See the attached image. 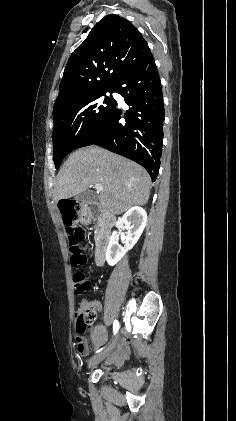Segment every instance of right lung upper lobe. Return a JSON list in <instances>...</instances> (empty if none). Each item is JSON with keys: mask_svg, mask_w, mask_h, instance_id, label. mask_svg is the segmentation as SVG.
Masks as SVG:
<instances>
[{"mask_svg": "<svg viewBox=\"0 0 236 421\" xmlns=\"http://www.w3.org/2000/svg\"><path fill=\"white\" fill-rule=\"evenodd\" d=\"M150 56L147 42L130 21L107 15L70 56L53 110L79 96L114 88L128 70Z\"/></svg>", "mask_w": 236, "mask_h": 421, "instance_id": "obj_1", "label": "right lung upper lobe"}]
</instances>
